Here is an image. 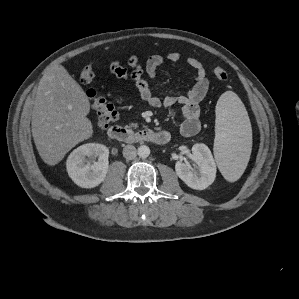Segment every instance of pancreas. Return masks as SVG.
Listing matches in <instances>:
<instances>
[{"instance_id": "obj_1", "label": "pancreas", "mask_w": 299, "mask_h": 299, "mask_svg": "<svg viewBox=\"0 0 299 299\" xmlns=\"http://www.w3.org/2000/svg\"><path fill=\"white\" fill-rule=\"evenodd\" d=\"M138 127V123H130L128 128H137Z\"/></svg>"}]
</instances>
